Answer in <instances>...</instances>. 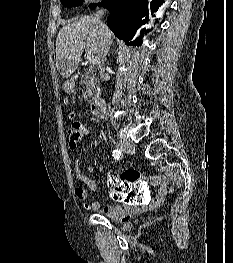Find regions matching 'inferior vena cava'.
<instances>
[{"mask_svg":"<svg viewBox=\"0 0 233 263\" xmlns=\"http://www.w3.org/2000/svg\"><path fill=\"white\" fill-rule=\"evenodd\" d=\"M104 13H105V9H100L94 17V20L97 23L100 32V44L96 56V63H97V69L99 70V73L102 78H104L105 50L108 44V41L104 35L106 27L101 21V18L103 17Z\"/></svg>","mask_w":233,"mask_h":263,"instance_id":"602c4592","label":"inferior vena cava"}]
</instances>
